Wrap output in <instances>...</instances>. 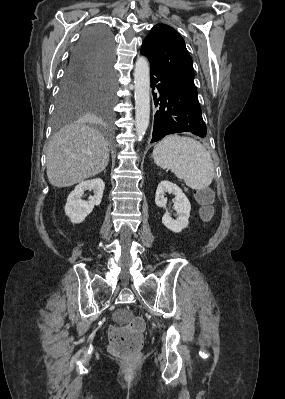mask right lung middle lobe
<instances>
[{
	"instance_id": "right-lung-middle-lobe-1",
	"label": "right lung middle lobe",
	"mask_w": 285,
	"mask_h": 399,
	"mask_svg": "<svg viewBox=\"0 0 285 399\" xmlns=\"http://www.w3.org/2000/svg\"><path fill=\"white\" fill-rule=\"evenodd\" d=\"M114 80L85 82L63 78L56 100V123L60 125L83 111L109 121L114 100Z\"/></svg>"
}]
</instances>
